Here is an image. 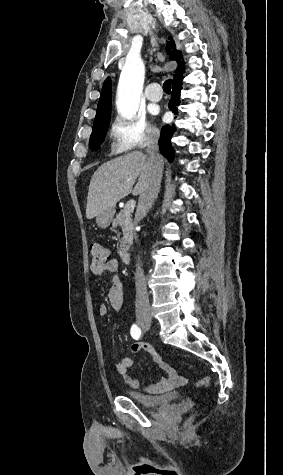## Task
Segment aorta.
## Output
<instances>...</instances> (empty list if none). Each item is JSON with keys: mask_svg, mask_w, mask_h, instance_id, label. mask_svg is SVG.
<instances>
[{"mask_svg": "<svg viewBox=\"0 0 283 475\" xmlns=\"http://www.w3.org/2000/svg\"><path fill=\"white\" fill-rule=\"evenodd\" d=\"M145 76L140 59H128L122 69L117 87V111L125 119H132L139 107Z\"/></svg>", "mask_w": 283, "mask_h": 475, "instance_id": "762f6f07", "label": "aorta"}]
</instances>
